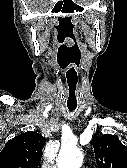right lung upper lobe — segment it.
Masks as SVG:
<instances>
[{
  "mask_svg": "<svg viewBox=\"0 0 127 168\" xmlns=\"http://www.w3.org/2000/svg\"><path fill=\"white\" fill-rule=\"evenodd\" d=\"M44 143L45 138L33 131L16 136L0 153V168H41Z\"/></svg>",
  "mask_w": 127,
  "mask_h": 168,
  "instance_id": "1",
  "label": "right lung upper lobe"
}]
</instances>
